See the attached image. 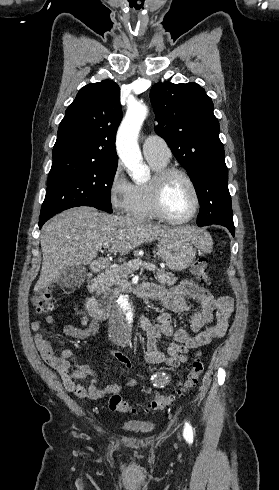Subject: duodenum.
<instances>
[{"label":"duodenum","instance_id":"obj_1","mask_svg":"<svg viewBox=\"0 0 279 490\" xmlns=\"http://www.w3.org/2000/svg\"><path fill=\"white\" fill-rule=\"evenodd\" d=\"M104 267L105 263L102 260H95L91 264L92 271L96 273L102 271ZM121 293H135L138 296L144 297L148 294L147 285L143 283L132 284L130 282H126L120 285L115 290L114 294L118 295ZM86 309L89 315L94 319H105L109 316L111 311V298L104 297L102 300H98L94 297H90L87 299Z\"/></svg>","mask_w":279,"mask_h":490}]
</instances>
